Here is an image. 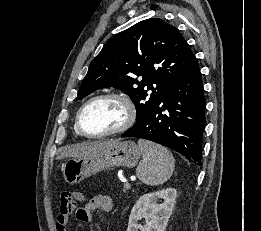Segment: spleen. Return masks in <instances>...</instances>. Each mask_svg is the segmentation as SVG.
Masks as SVG:
<instances>
[{
	"instance_id": "1",
	"label": "spleen",
	"mask_w": 261,
	"mask_h": 231,
	"mask_svg": "<svg viewBox=\"0 0 261 231\" xmlns=\"http://www.w3.org/2000/svg\"><path fill=\"white\" fill-rule=\"evenodd\" d=\"M143 159L139 163L136 175L141 182L150 186L165 183L175 168L171 152L163 146L147 140H138Z\"/></svg>"
}]
</instances>
